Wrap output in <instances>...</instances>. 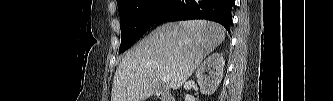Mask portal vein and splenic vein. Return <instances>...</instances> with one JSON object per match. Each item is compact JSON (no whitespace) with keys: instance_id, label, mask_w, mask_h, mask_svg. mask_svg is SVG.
Wrapping results in <instances>:
<instances>
[{"instance_id":"obj_1","label":"portal vein and splenic vein","mask_w":333,"mask_h":101,"mask_svg":"<svg viewBox=\"0 0 333 101\" xmlns=\"http://www.w3.org/2000/svg\"><path fill=\"white\" fill-rule=\"evenodd\" d=\"M161 80L164 83H169L170 82V76L169 75H163V76H161Z\"/></svg>"}]
</instances>
